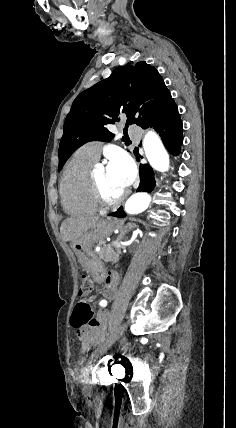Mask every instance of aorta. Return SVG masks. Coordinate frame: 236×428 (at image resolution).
Masks as SVG:
<instances>
[{
	"mask_svg": "<svg viewBox=\"0 0 236 428\" xmlns=\"http://www.w3.org/2000/svg\"><path fill=\"white\" fill-rule=\"evenodd\" d=\"M143 148L150 166L157 171L165 172L169 170V155L163 146L160 137L149 131L143 141ZM151 202V196L145 192L133 194L125 204V211L128 214H138L145 211Z\"/></svg>",
	"mask_w": 236,
	"mask_h": 428,
	"instance_id": "obj_1",
	"label": "aorta"
}]
</instances>
